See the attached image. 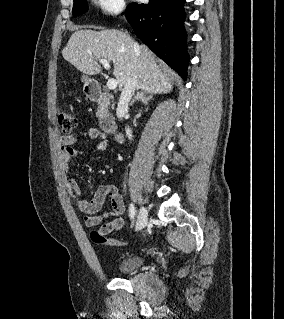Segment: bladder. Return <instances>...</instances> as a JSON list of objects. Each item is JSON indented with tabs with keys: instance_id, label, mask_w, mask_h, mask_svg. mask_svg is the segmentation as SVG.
Here are the masks:
<instances>
[{
	"instance_id": "bladder-1",
	"label": "bladder",
	"mask_w": 284,
	"mask_h": 319,
	"mask_svg": "<svg viewBox=\"0 0 284 319\" xmlns=\"http://www.w3.org/2000/svg\"><path fill=\"white\" fill-rule=\"evenodd\" d=\"M147 261V258L141 254H129L121 257L115 265L116 270L121 274H130L140 267H142Z\"/></svg>"
}]
</instances>
